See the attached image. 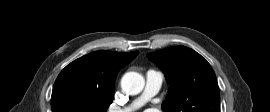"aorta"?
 I'll return each instance as SVG.
<instances>
[{
  "label": "aorta",
  "instance_id": "aorta-1",
  "mask_svg": "<svg viewBox=\"0 0 270 112\" xmlns=\"http://www.w3.org/2000/svg\"><path fill=\"white\" fill-rule=\"evenodd\" d=\"M144 78L137 72H127L121 79V88L130 95L139 94L144 88Z\"/></svg>",
  "mask_w": 270,
  "mask_h": 112
}]
</instances>
